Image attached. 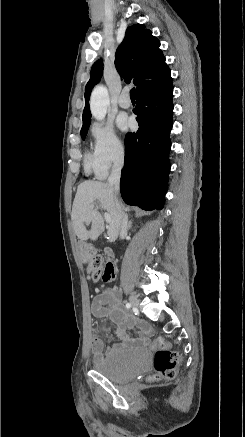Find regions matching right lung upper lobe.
Masks as SVG:
<instances>
[{"label": "right lung upper lobe", "instance_id": "cb5924a9", "mask_svg": "<svg viewBox=\"0 0 245 437\" xmlns=\"http://www.w3.org/2000/svg\"><path fill=\"white\" fill-rule=\"evenodd\" d=\"M159 47V40L145 28L144 24H135L127 28L125 37L115 54V65L126 82L133 79V83L137 86L136 94L162 86L172 80L170 69L165 63V56ZM102 74L103 62L99 60L93 64L90 80L85 87L86 105L83 110V126L90 125V94Z\"/></svg>", "mask_w": 245, "mask_h": 437}]
</instances>
